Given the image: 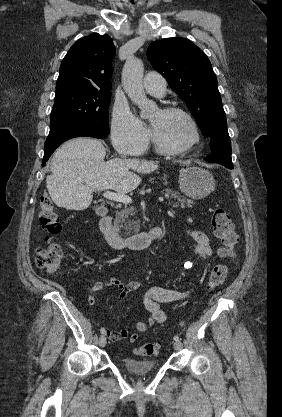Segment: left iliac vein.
<instances>
[{
  "mask_svg": "<svg viewBox=\"0 0 282 417\" xmlns=\"http://www.w3.org/2000/svg\"><path fill=\"white\" fill-rule=\"evenodd\" d=\"M173 346H174V349H175L176 351L181 350V349H182V347H183V345H182V342H181V341H175V342H174V344H173Z\"/></svg>",
  "mask_w": 282,
  "mask_h": 417,
  "instance_id": "obj_1",
  "label": "left iliac vein"
}]
</instances>
